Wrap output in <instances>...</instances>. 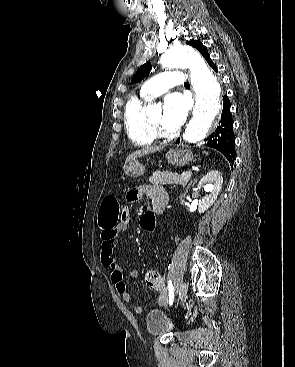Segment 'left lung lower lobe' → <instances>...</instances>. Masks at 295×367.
I'll return each mask as SVG.
<instances>
[{"label":"left lung lower lobe","instance_id":"left-lung-lower-lobe-1","mask_svg":"<svg viewBox=\"0 0 295 367\" xmlns=\"http://www.w3.org/2000/svg\"><path fill=\"white\" fill-rule=\"evenodd\" d=\"M208 63L215 71H217V66L212 62V60H209ZM230 106V100L227 96H224L220 125L217 127L215 132L206 138L205 145L220 151L227 158L230 164H233L236 152L234 148V133L232 128L233 121L230 113ZM177 142H179V139Z\"/></svg>","mask_w":295,"mask_h":367}]
</instances>
